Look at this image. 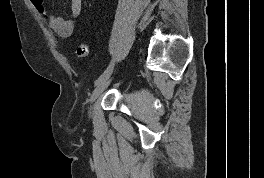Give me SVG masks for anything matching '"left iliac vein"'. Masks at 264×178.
I'll use <instances>...</instances> for the list:
<instances>
[{
  "mask_svg": "<svg viewBox=\"0 0 264 178\" xmlns=\"http://www.w3.org/2000/svg\"><path fill=\"white\" fill-rule=\"evenodd\" d=\"M112 80L111 74L105 77L95 88L93 91L91 97H90V104L92 105L99 96L104 92V90L109 86L110 82Z\"/></svg>",
  "mask_w": 264,
  "mask_h": 178,
  "instance_id": "4c4485c4",
  "label": "left iliac vein"
}]
</instances>
